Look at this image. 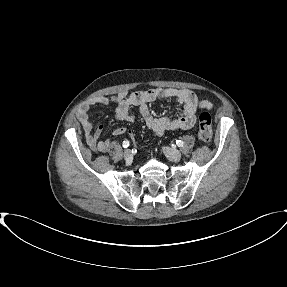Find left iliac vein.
I'll return each mask as SVG.
<instances>
[{
  "label": "left iliac vein",
  "mask_w": 287,
  "mask_h": 287,
  "mask_svg": "<svg viewBox=\"0 0 287 287\" xmlns=\"http://www.w3.org/2000/svg\"><path fill=\"white\" fill-rule=\"evenodd\" d=\"M163 151H164L165 155L167 156V158L171 161H174V162L179 161L182 157L181 152L175 148H172V147L164 146Z\"/></svg>",
  "instance_id": "obj_1"
}]
</instances>
